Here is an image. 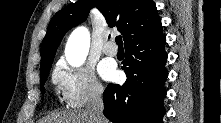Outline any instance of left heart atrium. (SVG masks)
Segmentation results:
<instances>
[{
	"instance_id": "1",
	"label": "left heart atrium",
	"mask_w": 221,
	"mask_h": 123,
	"mask_svg": "<svg viewBox=\"0 0 221 123\" xmlns=\"http://www.w3.org/2000/svg\"><path fill=\"white\" fill-rule=\"evenodd\" d=\"M100 74L103 78L107 80H112L117 76L114 67L109 63H103L100 66Z\"/></svg>"
}]
</instances>
